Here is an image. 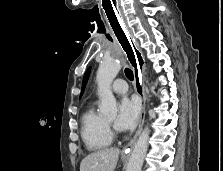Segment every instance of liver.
<instances>
[{
	"label": "liver",
	"instance_id": "6515ba94",
	"mask_svg": "<svg viewBox=\"0 0 223 171\" xmlns=\"http://www.w3.org/2000/svg\"><path fill=\"white\" fill-rule=\"evenodd\" d=\"M119 152L118 148H105L95 151L82 160L80 171H114Z\"/></svg>",
	"mask_w": 223,
	"mask_h": 171
}]
</instances>
